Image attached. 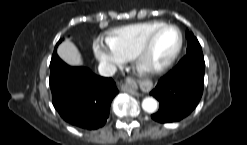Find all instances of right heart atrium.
Here are the masks:
<instances>
[{
    "label": "right heart atrium",
    "instance_id": "1",
    "mask_svg": "<svg viewBox=\"0 0 247 145\" xmlns=\"http://www.w3.org/2000/svg\"><path fill=\"white\" fill-rule=\"evenodd\" d=\"M93 52L96 59L103 64L120 66L125 59L114 50L108 43L96 40L93 44Z\"/></svg>",
    "mask_w": 247,
    "mask_h": 145
}]
</instances>
